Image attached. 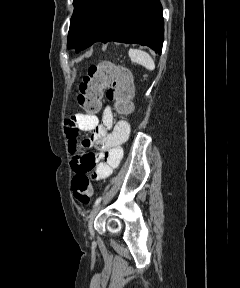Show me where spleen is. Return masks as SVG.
<instances>
[{"label":"spleen","mask_w":240,"mask_h":288,"mask_svg":"<svg viewBox=\"0 0 240 288\" xmlns=\"http://www.w3.org/2000/svg\"><path fill=\"white\" fill-rule=\"evenodd\" d=\"M128 54L132 61L143 65L148 70L155 69L154 60L147 52L139 49H130Z\"/></svg>","instance_id":"spleen-1"}]
</instances>
